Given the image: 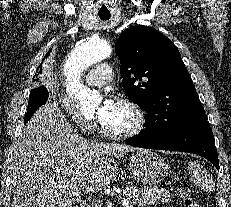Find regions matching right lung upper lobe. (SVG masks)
I'll list each match as a JSON object with an SVG mask.
<instances>
[{"mask_svg": "<svg viewBox=\"0 0 231 207\" xmlns=\"http://www.w3.org/2000/svg\"><path fill=\"white\" fill-rule=\"evenodd\" d=\"M50 52H51V50H50V51H49V52L45 55L44 59H45L46 57H48V56H49ZM44 59H43V60H44ZM39 67H40V66H39ZM39 67L37 68V70L39 69ZM41 70H42V69H40V71H39V72H41Z\"/></svg>", "mask_w": 231, "mask_h": 207, "instance_id": "obj_1", "label": "right lung upper lobe"}]
</instances>
